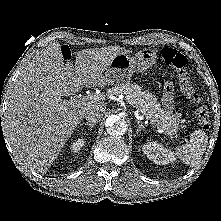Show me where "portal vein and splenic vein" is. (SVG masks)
<instances>
[{
    "label": "portal vein and splenic vein",
    "mask_w": 221,
    "mask_h": 221,
    "mask_svg": "<svg viewBox=\"0 0 221 221\" xmlns=\"http://www.w3.org/2000/svg\"><path fill=\"white\" fill-rule=\"evenodd\" d=\"M103 98L104 97L102 95H98V94H96V95H88V96L82 97V98H80V100H77V101H74V102H75V104H77V103H84V102H94L96 100H101ZM125 99H126V101L130 105L135 107V102L129 96H125ZM139 112H140L139 109H137L135 111V115H136L137 119L142 120L143 116H139ZM147 119H148V117H147Z\"/></svg>",
    "instance_id": "portal-vein-and-splenic-vein-1"
}]
</instances>
